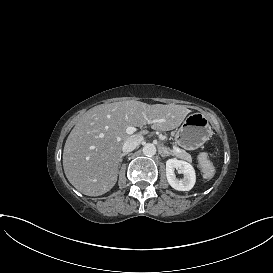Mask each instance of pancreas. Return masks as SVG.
<instances>
[{
  "label": "pancreas",
  "instance_id": "cf45deb5",
  "mask_svg": "<svg viewBox=\"0 0 273 273\" xmlns=\"http://www.w3.org/2000/svg\"><path fill=\"white\" fill-rule=\"evenodd\" d=\"M172 153H173L176 157H178V158L187 160V161H189V162L192 161L191 155H190L189 153H187L185 150H183L182 153L175 152V151H173Z\"/></svg>",
  "mask_w": 273,
  "mask_h": 273
}]
</instances>
